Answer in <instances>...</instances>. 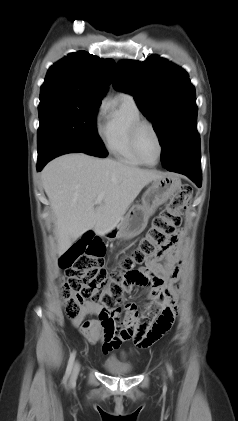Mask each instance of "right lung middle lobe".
Masks as SVG:
<instances>
[{
	"instance_id": "dd1d6c3e",
	"label": "right lung middle lobe",
	"mask_w": 238,
	"mask_h": 421,
	"mask_svg": "<svg viewBox=\"0 0 238 421\" xmlns=\"http://www.w3.org/2000/svg\"><path fill=\"white\" fill-rule=\"evenodd\" d=\"M101 98L80 93L44 90L38 106V150L53 139L66 141L97 157L108 155L96 130Z\"/></svg>"
}]
</instances>
